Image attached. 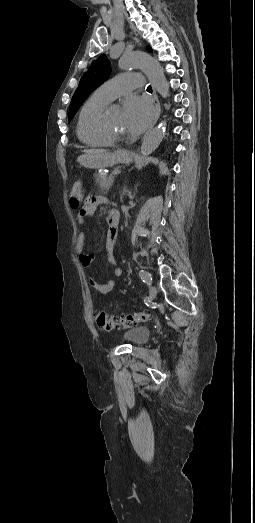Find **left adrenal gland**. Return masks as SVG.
I'll return each mask as SVG.
<instances>
[{
  "instance_id": "1",
  "label": "left adrenal gland",
  "mask_w": 255,
  "mask_h": 523,
  "mask_svg": "<svg viewBox=\"0 0 255 523\" xmlns=\"http://www.w3.org/2000/svg\"><path fill=\"white\" fill-rule=\"evenodd\" d=\"M123 194H124V192H122V194H121V198H123Z\"/></svg>"
}]
</instances>
